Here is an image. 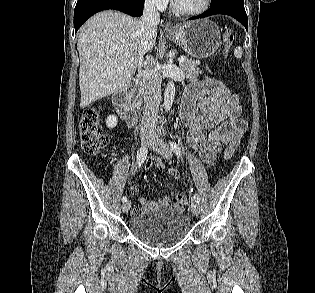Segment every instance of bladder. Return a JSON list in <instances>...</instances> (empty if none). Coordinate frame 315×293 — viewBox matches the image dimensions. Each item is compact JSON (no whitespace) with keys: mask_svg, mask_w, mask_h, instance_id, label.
<instances>
[{"mask_svg":"<svg viewBox=\"0 0 315 293\" xmlns=\"http://www.w3.org/2000/svg\"><path fill=\"white\" fill-rule=\"evenodd\" d=\"M190 219L177 207L144 211L129 219V230L152 246H169L182 240L190 230Z\"/></svg>","mask_w":315,"mask_h":293,"instance_id":"1","label":"bladder"}]
</instances>
